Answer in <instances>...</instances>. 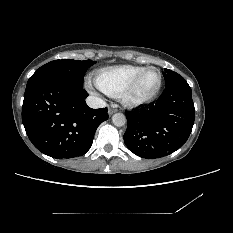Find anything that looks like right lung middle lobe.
Masks as SVG:
<instances>
[{"mask_svg": "<svg viewBox=\"0 0 233 233\" xmlns=\"http://www.w3.org/2000/svg\"><path fill=\"white\" fill-rule=\"evenodd\" d=\"M95 62L92 60H54L35 71L29 78L27 86L46 80H60L83 87V78L87 69Z\"/></svg>", "mask_w": 233, "mask_h": 233, "instance_id": "right-lung-middle-lobe-1", "label": "right lung middle lobe"}]
</instances>
